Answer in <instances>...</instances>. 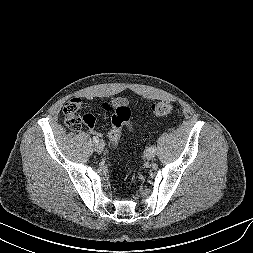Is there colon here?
<instances>
[{
  "label": "colon",
  "mask_w": 253,
  "mask_h": 253,
  "mask_svg": "<svg viewBox=\"0 0 253 253\" xmlns=\"http://www.w3.org/2000/svg\"><path fill=\"white\" fill-rule=\"evenodd\" d=\"M152 113L157 117L167 116L172 112V106L165 101L156 102L151 106ZM63 118L66 125L77 130L83 124L91 127L95 124V117L90 113H82L81 102L78 99L68 101L63 108ZM132 129L131 110L126 104H119L113 109L111 129L108 133L109 149H115L120 139L121 128Z\"/></svg>",
  "instance_id": "1"
}]
</instances>
